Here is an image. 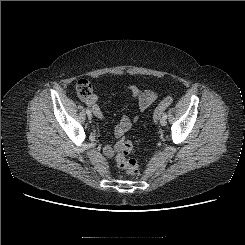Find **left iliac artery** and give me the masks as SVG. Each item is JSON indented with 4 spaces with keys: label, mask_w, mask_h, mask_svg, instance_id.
<instances>
[{
    "label": "left iliac artery",
    "mask_w": 245,
    "mask_h": 245,
    "mask_svg": "<svg viewBox=\"0 0 245 245\" xmlns=\"http://www.w3.org/2000/svg\"><path fill=\"white\" fill-rule=\"evenodd\" d=\"M162 117L167 118V114L163 113Z\"/></svg>",
    "instance_id": "44dca946"
}]
</instances>
